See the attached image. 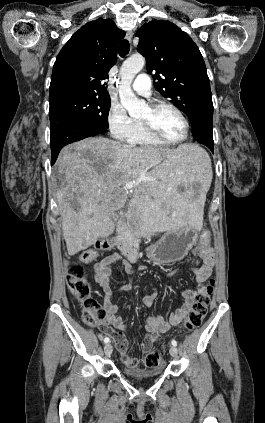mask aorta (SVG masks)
Instances as JSON below:
<instances>
[{
    "label": "aorta",
    "instance_id": "obj_1",
    "mask_svg": "<svg viewBox=\"0 0 265 423\" xmlns=\"http://www.w3.org/2000/svg\"><path fill=\"white\" fill-rule=\"evenodd\" d=\"M144 65L145 59L143 56L133 55L125 60L120 68V102L130 116L139 115L146 107L145 101L138 99L131 89L134 77L143 69Z\"/></svg>",
    "mask_w": 265,
    "mask_h": 423
}]
</instances>
